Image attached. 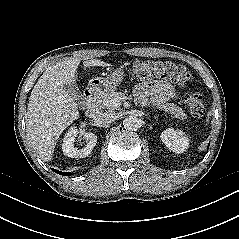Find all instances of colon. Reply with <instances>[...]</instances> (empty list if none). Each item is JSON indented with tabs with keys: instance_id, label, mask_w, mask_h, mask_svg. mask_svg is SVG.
Segmentation results:
<instances>
[{
	"instance_id": "1",
	"label": "colon",
	"mask_w": 239,
	"mask_h": 239,
	"mask_svg": "<svg viewBox=\"0 0 239 239\" xmlns=\"http://www.w3.org/2000/svg\"><path fill=\"white\" fill-rule=\"evenodd\" d=\"M131 73L138 80L161 77L180 86L186 85L191 80V74L183 65L170 61L139 60L133 64ZM184 103L193 116L204 115L205 106L199 92L193 90L186 93Z\"/></svg>"
}]
</instances>
